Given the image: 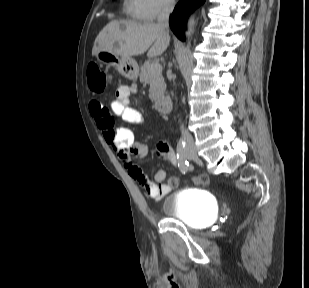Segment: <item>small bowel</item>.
<instances>
[{"instance_id":"1","label":"small bowel","mask_w":309,"mask_h":288,"mask_svg":"<svg viewBox=\"0 0 309 288\" xmlns=\"http://www.w3.org/2000/svg\"><path fill=\"white\" fill-rule=\"evenodd\" d=\"M137 91V86L121 85L117 88L115 98L111 101L110 107H104L96 100L90 102L89 108L104 141L118 154L123 167L129 176L137 181L147 196L154 200H161L170 193L173 186L163 182L165 174L163 171L156 173V182L150 181L142 170L134 163V159H141L147 155L148 148L145 144L137 142L133 133L127 128H116L112 113L119 116L123 121L131 124H138L144 121L143 114L130 106V97ZM159 157L177 163L173 148L167 142L157 144Z\"/></svg>"}]
</instances>
